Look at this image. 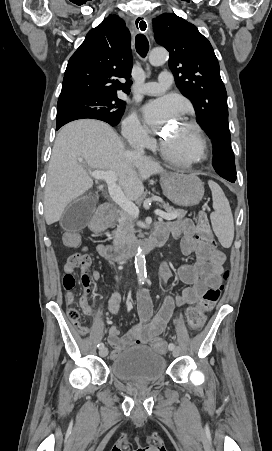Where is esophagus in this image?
Segmentation results:
<instances>
[{"label": "esophagus", "instance_id": "34e87169", "mask_svg": "<svg viewBox=\"0 0 272 451\" xmlns=\"http://www.w3.org/2000/svg\"><path fill=\"white\" fill-rule=\"evenodd\" d=\"M137 20H138V18L136 19V21H137ZM136 25H137V24H136ZM138 30H139V31H143V30L141 29L140 26L138 27Z\"/></svg>", "mask_w": 272, "mask_h": 451}]
</instances>
